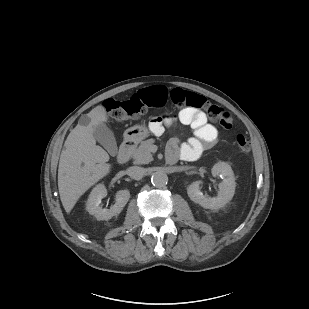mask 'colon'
Returning <instances> with one entry per match:
<instances>
[{
	"label": "colon",
	"instance_id": "obj_1",
	"mask_svg": "<svg viewBox=\"0 0 309 309\" xmlns=\"http://www.w3.org/2000/svg\"><path fill=\"white\" fill-rule=\"evenodd\" d=\"M170 100L176 107L194 108L204 110L210 119L221 127L230 129L233 119L222 107L211 103L205 96L184 90L182 88L167 89L164 86H155L133 95L127 100L110 98L104 101V109L117 121L138 117L150 108H161ZM235 143L240 152L250 151L251 145L248 137L239 134Z\"/></svg>",
	"mask_w": 309,
	"mask_h": 309
}]
</instances>
